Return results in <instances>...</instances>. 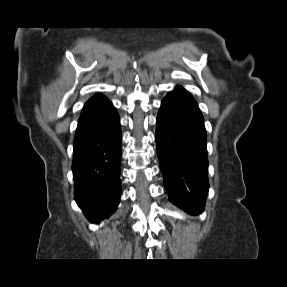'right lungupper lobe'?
Segmentation results:
<instances>
[{
	"label": "right lung upper lobe",
	"instance_id": "right-lung-upper-lobe-1",
	"mask_svg": "<svg viewBox=\"0 0 287 287\" xmlns=\"http://www.w3.org/2000/svg\"><path fill=\"white\" fill-rule=\"evenodd\" d=\"M107 101H108V99L105 96H103L101 94H97V95L93 96L92 98H90L86 102L82 111L92 109V108L97 107V106H99V105H101Z\"/></svg>",
	"mask_w": 287,
	"mask_h": 287
}]
</instances>
